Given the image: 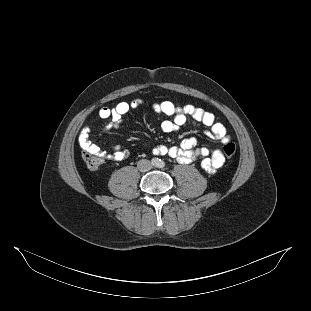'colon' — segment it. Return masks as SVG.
<instances>
[{"mask_svg": "<svg viewBox=\"0 0 311 311\" xmlns=\"http://www.w3.org/2000/svg\"><path fill=\"white\" fill-rule=\"evenodd\" d=\"M223 152L228 159L232 158L236 153V145L232 142L226 143L223 147ZM83 159L87 167L91 170L98 169L103 163L100 153L93 150H84Z\"/></svg>", "mask_w": 311, "mask_h": 311, "instance_id": "1", "label": "colon"}]
</instances>
